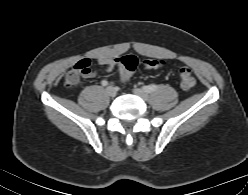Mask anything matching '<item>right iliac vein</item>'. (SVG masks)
<instances>
[{
    "label": "right iliac vein",
    "mask_w": 248,
    "mask_h": 195,
    "mask_svg": "<svg viewBox=\"0 0 248 195\" xmlns=\"http://www.w3.org/2000/svg\"><path fill=\"white\" fill-rule=\"evenodd\" d=\"M106 92H107V94H108L109 96H111V97H115L116 94H117L116 89H115L113 86H108V87L106 88Z\"/></svg>",
    "instance_id": "63e3f726"
}]
</instances>
